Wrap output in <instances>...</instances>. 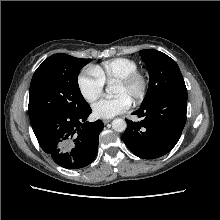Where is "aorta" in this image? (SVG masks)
I'll use <instances>...</instances> for the list:
<instances>
[{"label": "aorta", "instance_id": "obj_1", "mask_svg": "<svg viewBox=\"0 0 220 220\" xmlns=\"http://www.w3.org/2000/svg\"><path fill=\"white\" fill-rule=\"evenodd\" d=\"M106 92H107V95H106L107 98H111L112 97V87L107 86L106 87ZM112 128L116 132H124L127 128L126 121L121 119V118H116L112 121Z\"/></svg>", "mask_w": 220, "mask_h": 220}]
</instances>
